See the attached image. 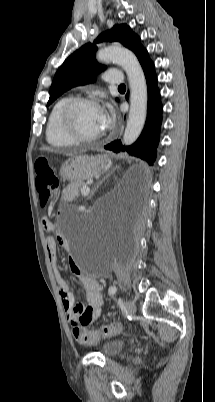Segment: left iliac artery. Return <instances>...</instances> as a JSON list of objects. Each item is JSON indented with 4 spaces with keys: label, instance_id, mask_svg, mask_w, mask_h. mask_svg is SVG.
I'll use <instances>...</instances> for the list:
<instances>
[{
    "label": "left iliac artery",
    "instance_id": "1",
    "mask_svg": "<svg viewBox=\"0 0 215 402\" xmlns=\"http://www.w3.org/2000/svg\"><path fill=\"white\" fill-rule=\"evenodd\" d=\"M117 292V288L115 286H111L108 290L109 295H114Z\"/></svg>",
    "mask_w": 215,
    "mask_h": 402
}]
</instances>
